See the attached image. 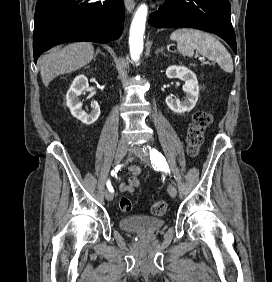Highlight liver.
Listing matches in <instances>:
<instances>
[{
  "instance_id": "liver-1",
  "label": "liver",
  "mask_w": 272,
  "mask_h": 282,
  "mask_svg": "<svg viewBox=\"0 0 272 282\" xmlns=\"http://www.w3.org/2000/svg\"><path fill=\"white\" fill-rule=\"evenodd\" d=\"M94 56L91 43H72L61 49H54L40 59V74L44 85L57 76L66 74L89 64Z\"/></svg>"
}]
</instances>
